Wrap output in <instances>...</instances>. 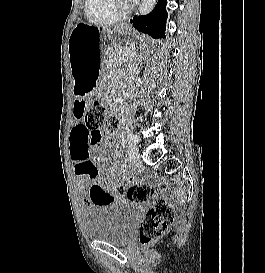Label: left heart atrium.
<instances>
[{
    "instance_id": "left-heart-atrium-1",
    "label": "left heart atrium",
    "mask_w": 265,
    "mask_h": 273,
    "mask_svg": "<svg viewBox=\"0 0 265 273\" xmlns=\"http://www.w3.org/2000/svg\"><path fill=\"white\" fill-rule=\"evenodd\" d=\"M128 2H133V1H136V0H127Z\"/></svg>"
}]
</instances>
